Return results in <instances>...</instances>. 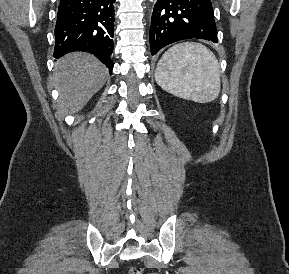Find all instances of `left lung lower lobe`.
Wrapping results in <instances>:
<instances>
[{"label":"left lung lower lobe","instance_id":"obj_1","mask_svg":"<svg viewBox=\"0 0 289 274\" xmlns=\"http://www.w3.org/2000/svg\"><path fill=\"white\" fill-rule=\"evenodd\" d=\"M191 38L217 43L211 0H158L150 26L151 54L173 42Z\"/></svg>","mask_w":289,"mask_h":274}]
</instances>
